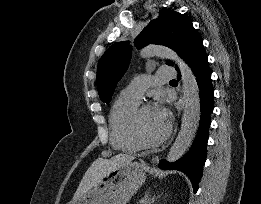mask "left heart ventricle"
<instances>
[{"label":"left heart ventricle","mask_w":261,"mask_h":204,"mask_svg":"<svg viewBox=\"0 0 261 204\" xmlns=\"http://www.w3.org/2000/svg\"><path fill=\"white\" fill-rule=\"evenodd\" d=\"M167 121L164 120L156 107L146 109L141 117V130L148 140L160 138L167 129Z\"/></svg>","instance_id":"1"}]
</instances>
